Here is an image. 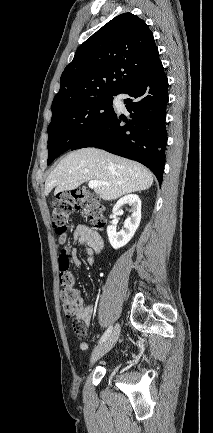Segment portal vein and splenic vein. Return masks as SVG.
I'll return each mask as SVG.
<instances>
[{
  "instance_id": "obj_1",
  "label": "portal vein and splenic vein",
  "mask_w": 213,
  "mask_h": 433,
  "mask_svg": "<svg viewBox=\"0 0 213 433\" xmlns=\"http://www.w3.org/2000/svg\"><path fill=\"white\" fill-rule=\"evenodd\" d=\"M100 185H107L106 183H100L98 181H89L88 186L91 189H96Z\"/></svg>"
}]
</instances>
